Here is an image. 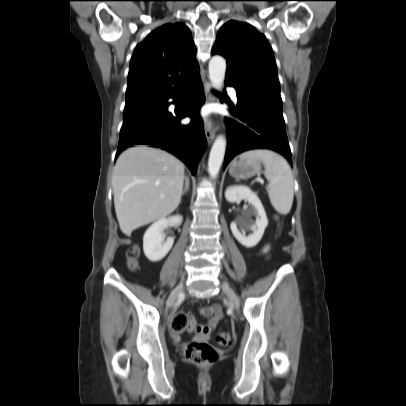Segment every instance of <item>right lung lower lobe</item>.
Listing matches in <instances>:
<instances>
[{
	"label": "right lung lower lobe",
	"mask_w": 406,
	"mask_h": 406,
	"mask_svg": "<svg viewBox=\"0 0 406 406\" xmlns=\"http://www.w3.org/2000/svg\"><path fill=\"white\" fill-rule=\"evenodd\" d=\"M185 96L182 109L168 112V99ZM204 91L200 75L190 81L183 89L164 98L165 110L160 118L150 124L120 133L116 155L134 145H149L161 148L182 160L196 173L198 160L206 147L203 124L198 111L204 103ZM191 117L188 125H181V119Z\"/></svg>",
	"instance_id": "98d812e1"
}]
</instances>
